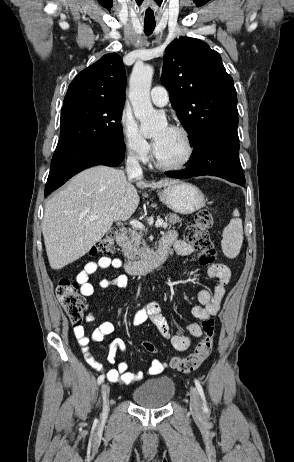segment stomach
<instances>
[{
    "label": "stomach",
    "instance_id": "1",
    "mask_svg": "<svg viewBox=\"0 0 294 462\" xmlns=\"http://www.w3.org/2000/svg\"><path fill=\"white\" fill-rule=\"evenodd\" d=\"M158 195L168 208L180 214H191L204 207L206 203L201 190L186 182L166 186Z\"/></svg>",
    "mask_w": 294,
    "mask_h": 462
}]
</instances>
